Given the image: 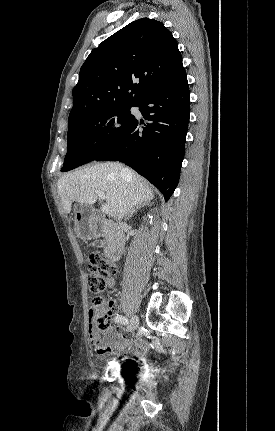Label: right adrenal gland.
Masks as SVG:
<instances>
[{
	"instance_id": "2a0ac1e0",
	"label": "right adrenal gland",
	"mask_w": 275,
	"mask_h": 431,
	"mask_svg": "<svg viewBox=\"0 0 275 431\" xmlns=\"http://www.w3.org/2000/svg\"><path fill=\"white\" fill-rule=\"evenodd\" d=\"M146 204H149V203H143V204H142V206H144V205H146ZM138 207H140V206H136V208H137V209H138ZM135 212H136L135 208H132L131 210H129V211L127 212V214H126V218L131 217Z\"/></svg>"
}]
</instances>
